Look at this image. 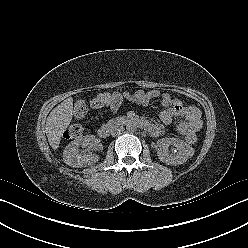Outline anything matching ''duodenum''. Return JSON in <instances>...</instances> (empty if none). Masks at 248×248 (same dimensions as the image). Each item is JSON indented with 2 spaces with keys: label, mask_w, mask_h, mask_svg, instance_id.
<instances>
[{
  "label": "duodenum",
  "mask_w": 248,
  "mask_h": 248,
  "mask_svg": "<svg viewBox=\"0 0 248 248\" xmlns=\"http://www.w3.org/2000/svg\"><path fill=\"white\" fill-rule=\"evenodd\" d=\"M120 124H132L139 128H148L149 124L147 121L137 118L135 116H128L117 121H114L111 125H104L99 129V135L102 138H108L113 130L114 126H118Z\"/></svg>",
  "instance_id": "obj_1"
}]
</instances>
